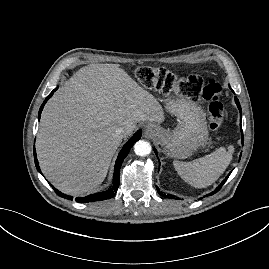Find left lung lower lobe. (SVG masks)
Wrapping results in <instances>:
<instances>
[{
    "label": "left lung lower lobe",
    "mask_w": 269,
    "mask_h": 269,
    "mask_svg": "<svg viewBox=\"0 0 269 269\" xmlns=\"http://www.w3.org/2000/svg\"><path fill=\"white\" fill-rule=\"evenodd\" d=\"M235 102L237 104V107L240 111V116H241V106H240V103H239V100L237 99V97H235ZM244 143V138H243V135H242V144ZM155 154H157L156 150H155ZM230 173L228 174V176L222 181V183L213 191L211 192L210 194L208 195H213L214 193H216L217 191H219V189L223 186V184L226 182L227 178L229 177ZM157 191L159 192L160 195L164 196V197H172V198H175V196H172V195H166V194H162L159 189L157 188ZM177 199V198H176Z\"/></svg>",
    "instance_id": "0a47b994"
}]
</instances>
